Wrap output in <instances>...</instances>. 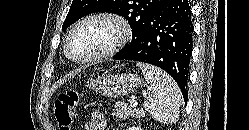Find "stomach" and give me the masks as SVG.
<instances>
[{
  "label": "stomach",
  "mask_w": 249,
  "mask_h": 130,
  "mask_svg": "<svg viewBox=\"0 0 249 130\" xmlns=\"http://www.w3.org/2000/svg\"><path fill=\"white\" fill-rule=\"evenodd\" d=\"M141 85L140 77L132 73L103 74L91 80L87 87L107 97H119L134 92Z\"/></svg>",
  "instance_id": "obj_1"
}]
</instances>
